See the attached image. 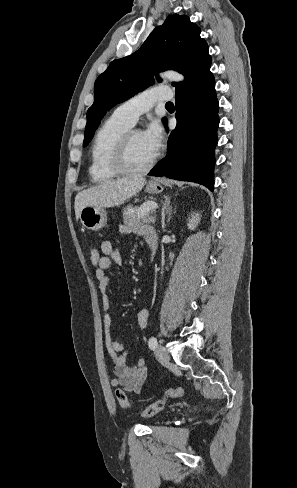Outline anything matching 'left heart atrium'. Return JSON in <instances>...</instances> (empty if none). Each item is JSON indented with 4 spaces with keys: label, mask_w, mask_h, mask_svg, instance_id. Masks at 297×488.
<instances>
[{
    "label": "left heart atrium",
    "mask_w": 297,
    "mask_h": 488,
    "mask_svg": "<svg viewBox=\"0 0 297 488\" xmlns=\"http://www.w3.org/2000/svg\"><path fill=\"white\" fill-rule=\"evenodd\" d=\"M142 135L150 150L156 155L163 144V130L159 123H150Z\"/></svg>",
    "instance_id": "1"
}]
</instances>
